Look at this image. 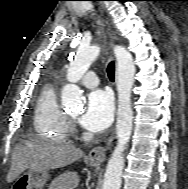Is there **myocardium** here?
Segmentation results:
<instances>
[{"instance_id": "obj_1", "label": "myocardium", "mask_w": 188, "mask_h": 189, "mask_svg": "<svg viewBox=\"0 0 188 189\" xmlns=\"http://www.w3.org/2000/svg\"><path fill=\"white\" fill-rule=\"evenodd\" d=\"M68 126L70 131H73V118L68 117Z\"/></svg>"}]
</instances>
